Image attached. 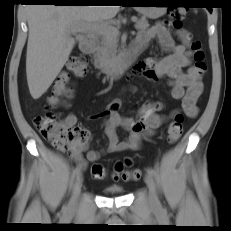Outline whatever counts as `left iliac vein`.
<instances>
[{
    "mask_svg": "<svg viewBox=\"0 0 231 231\" xmlns=\"http://www.w3.org/2000/svg\"><path fill=\"white\" fill-rule=\"evenodd\" d=\"M145 183L149 190V200H150L152 207L154 208L160 207V202H159V199L156 193L155 182L151 175L147 174L145 176Z\"/></svg>",
    "mask_w": 231,
    "mask_h": 231,
    "instance_id": "obj_1",
    "label": "left iliac vein"
}]
</instances>
